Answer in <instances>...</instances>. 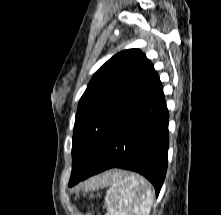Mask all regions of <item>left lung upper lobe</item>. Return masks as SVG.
Here are the masks:
<instances>
[{
  "label": "left lung upper lobe",
  "instance_id": "obj_1",
  "mask_svg": "<svg viewBox=\"0 0 221 215\" xmlns=\"http://www.w3.org/2000/svg\"><path fill=\"white\" fill-rule=\"evenodd\" d=\"M153 65L139 49L121 51L94 74L75 117L70 181L82 179L104 148L115 119L148 81Z\"/></svg>",
  "mask_w": 221,
  "mask_h": 215
}]
</instances>
